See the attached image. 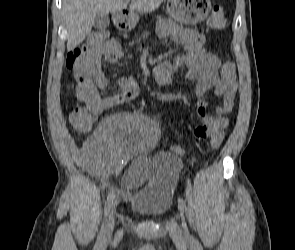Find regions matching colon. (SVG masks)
<instances>
[{
    "label": "colon",
    "instance_id": "obj_1",
    "mask_svg": "<svg viewBox=\"0 0 295 250\" xmlns=\"http://www.w3.org/2000/svg\"><path fill=\"white\" fill-rule=\"evenodd\" d=\"M226 24V16L224 9L215 5L208 17L207 25L210 30H220ZM108 41V33L106 31L95 32L91 38L87 47L78 49L73 56L83 57L86 51L92 47L103 46ZM221 77L226 81H233L236 77L235 65L231 60H226L221 67ZM98 110L93 105L72 103L69 109V122L70 124L80 132L89 131L94 123Z\"/></svg>",
    "mask_w": 295,
    "mask_h": 250
}]
</instances>
